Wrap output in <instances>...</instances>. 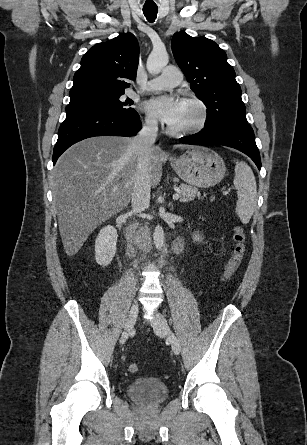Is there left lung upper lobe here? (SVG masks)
Wrapping results in <instances>:
<instances>
[{"mask_svg": "<svg viewBox=\"0 0 307 445\" xmlns=\"http://www.w3.org/2000/svg\"><path fill=\"white\" fill-rule=\"evenodd\" d=\"M172 52L192 91L207 107L205 128L227 122L248 124L241 88L224 50L210 39L180 31L173 35Z\"/></svg>", "mask_w": 307, "mask_h": 445, "instance_id": "1", "label": "left lung upper lobe"}]
</instances>
